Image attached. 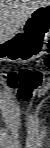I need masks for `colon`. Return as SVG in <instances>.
I'll return each mask as SVG.
<instances>
[{"instance_id":"obj_1","label":"colon","mask_w":50,"mask_h":148,"mask_svg":"<svg viewBox=\"0 0 50 148\" xmlns=\"http://www.w3.org/2000/svg\"><path fill=\"white\" fill-rule=\"evenodd\" d=\"M43 64L48 67L50 58L46 57ZM47 72L41 70L23 69L19 71H11L5 74L6 82L17 89L20 97L31 99L37 95V91L47 82Z\"/></svg>"}]
</instances>
